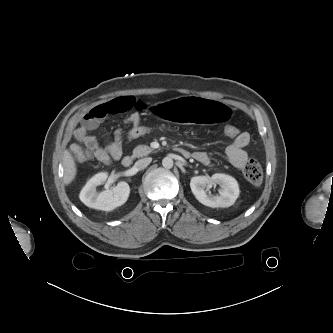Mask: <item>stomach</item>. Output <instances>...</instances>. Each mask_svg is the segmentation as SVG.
I'll list each match as a JSON object with an SVG mask.
<instances>
[{
    "instance_id": "0dacf381",
    "label": "stomach",
    "mask_w": 333,
    "mask_h": 333,
    "mask_svg": "<svg viewBox=\"0 0 333 333\" xmlns=\"http://www.w3.org/2000/svg\"><path fill=\"white\" fill-rule=\"evenodd\" d=\"M151 117L172 120L176 123H197L229 126L236 119V110L229 103H217L204 95L181 96L169 100L151 102L146 107Z\"/></svg>"
}]
</instances>
